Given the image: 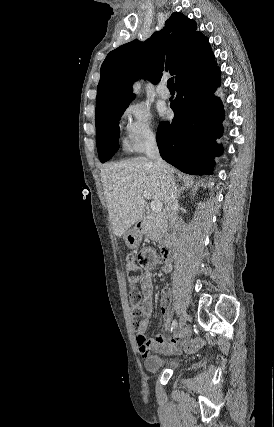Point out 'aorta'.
<instances>
[{"mask_svg": "<svg viewBox=\"0 0 274 427\" xmlns=\"http://www.w3.org/2000/svg\"><path fill=\"white\" fill-rule=\"evenodd\" d=\"M134 92H138L140 90V86L138 83L134 84Z\"/></svg>", "mask_w": 274, "mask_h": 427, "instance_id": "1", "label": "aorta"}]
</instances>
